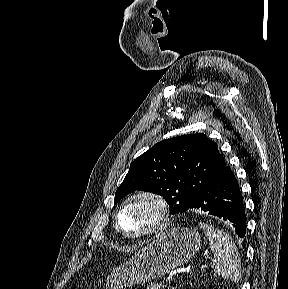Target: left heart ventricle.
I'll list each match as a JSON object with an SVG mask.
<instances>
[{"mask_svg": "<svg viewBox=\"0 0 288 289\" xmlns=\"http://www.w3.org/2000/svg\"><path fill=\"white\" fill-rule=\"evenodd\" d=\"M158 216L155 204L146 199H138L127 205L120 215L122 229L129 233L150 227Z\"/></svg>", "mask_w": 288, "mask_h": 289, "instance_id": "left-heart-ventricle-1", "label": "left heart ventricle"}]
</instances>
